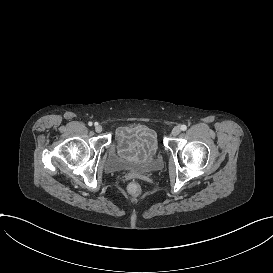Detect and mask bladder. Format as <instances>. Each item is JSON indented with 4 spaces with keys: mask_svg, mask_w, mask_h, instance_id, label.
Masks as SVG:
<instances>
[{
    "mask_svg": "<svg viewBox=\"0 0 273 273\" xmlns=\"http://www.w3.org/2000/svg\"><path fill=\"white\" fill-rule=\"evenodd\" d=\"M116 147L117 144L114 142L110 147L108 157L105 161V169L109 173L133 171L147 174L159 171L163 167V158L159 152L143 163L133 164L119 157L116 153Z\"/></svg>",
    "mask_w": 273,
    "mask_h": 273,
    "instance_id": "obj_1",
    "label": "bladder"
}]
</instances>
